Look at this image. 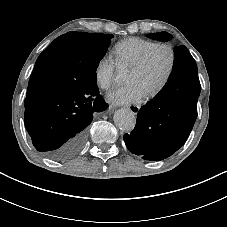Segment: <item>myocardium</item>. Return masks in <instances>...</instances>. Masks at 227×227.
<instances>
[{
  "label": "myocardium",
  "mask_w": 227,
  "mask_h": 227,
  "mask_svg": "<svg viewBox=\"0 0 227 227\" xmlns=\"http://www.w3.org/2000/svg\"><path fill=\"white\" fill-rule=\"evenodd\" d=\"M165 50L169 55V62L166 73L162 79V81L153 89L151 90L147 96L149 98H154L158 94H160L170 82V79L174 73L175 66H176V52L174 47L168 43H156L154 44L141 58L140 60L131 68V71L140 72L144 70L149 62L151 61L153 55L159 50Z\"/></svg>",
  "instance_id": "f54148a6"
}]
</instances>
